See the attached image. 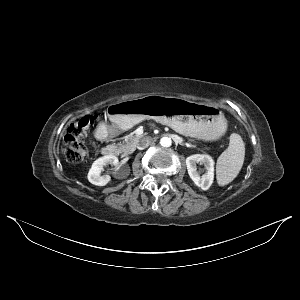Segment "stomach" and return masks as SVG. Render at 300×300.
<instances>
[{
  "label": "stomach",
  "instance_id": "1",
  "mask_svg": "<svg viewBox=\"0 0 300 300\" xmlns=\"http://www.w3.org/2000/svg\"><path fill=\"white\" fill-rule=\"evenodd\" d=\"M107 117L116 130H128L145 119H154L185 135L206 141L220 139L227 130V121L219 108L162 95L110 104Z\"/></svg>",
  "mask_w": 300,
  "mask_h": 300
}]
</instances>
